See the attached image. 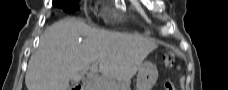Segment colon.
Listing matches in <instances>:
<instances>
[{
  "instance_id": "1",
  "label": "colon",
  "mask_w": 228,
  "mask_h": 90,
  "mask_svg": "<svg viewBox=\"0 0 228 90\" xmlns=\"http://www.w3.org/2000/svg\"><path fill=\"white\" fill-rule=\"evenodd\" d=\"M174 55L171 52H168L163 57V64L166 67H170L173 64ZM164 90H175L174 85L170 81H166L164 84Z\"/></svg>"
}]
</instances>
